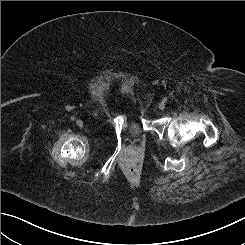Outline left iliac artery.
I'll list each match as a JSON object with an SVG mask.
<instances>
[{"instance_id":"left-iliac-artery-1","label":"left iliac artery","mask_w":245,"mask_h":245,"mask_svg":"<svg viewBox=\"0 0 245 245\" xmlns=\"http://www.w3.org/2000/svg\"><path fill=\"white\" fill-rule=\"evenodd\" d=\"M163 101L166 102L167 101V98H164Z\"/></svg>"}]
</instances>
